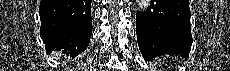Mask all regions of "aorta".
Returning a JSON list of instances; mask_svg holds the SVG:
<instances>
[{
  "mask_svg": "<svg viewBox=\"0 0 230 71\" xmlns=\"http://www.w3.org/2000/svg\"><path fill=\"white\" fill-rule=\"evenodd\" d=\"M137 4L142 11H146L150 6V0H136Z\"/></svg>",
  "mask_w": 230,
  "mask_h": 71,
  "instance_id": "obj_1",
  "label": "aorta"
}]
</instances>
